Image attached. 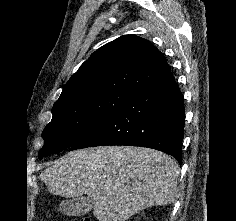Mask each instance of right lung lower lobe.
<instances>
[{
	"instance_id": "98d812e1",
	"label": "right lung lower lobe",
	"mask_w": 236,
	"mask_h": 221,
	"mask_svg": "<svg viewBox=\"0 0 236 221\" xmlns=\"http://www.w3.org/2000/svg\"><path fill=\"white\" fill-rule=\"evenodd\" d=\"M184 99L171 71L144 86L70 150L103 145L153 148L181 164Z\"/></svg>"
}]
</instances>
